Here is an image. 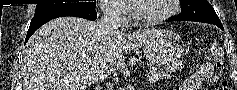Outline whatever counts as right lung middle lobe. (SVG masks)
Here are the masks:
<instances>
[{
    "label": "right lung middle lobe",
    "instance_id": "dd1d6c3e",
    "mask_svg": "<svg viewBox=\"0 0 237 90\" xmlns=\"http://www.w3.org/2000/svg\"><path fill=\"white\" fill-rule=\"evenodd\" d=\"M96 2H89V3H58V4H37L35 15L41 16L44 14L52 13L60 9L65 8H90L95 9Z\"/></svg>",
    "mask_w": 237,
    "mask_h": 90
}]
</instances>
